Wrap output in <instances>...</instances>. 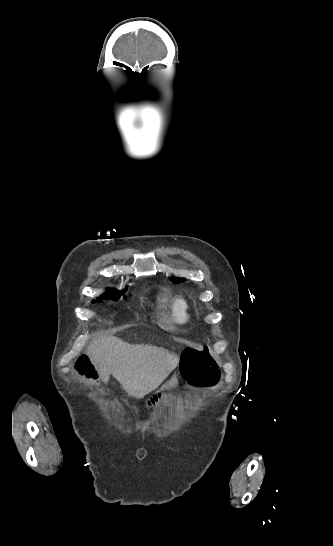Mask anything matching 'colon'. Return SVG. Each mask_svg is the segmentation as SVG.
<instances>
[{
	"mask_svg": "<svg viewBox=\"0 0 333 546\" xmlns=\"http://www.w3.org/2000/svg\"><path fill=\"white\" fill-rule=\"evenodd\" d=\"M75 369L89 379H96L98 374L93 363H88L86 356L81 355L75 362ZM181 370L184 378L200 387H211L218 383L220 373L217 364L206 346L190 347L183 351ZM94 383L92 380L89 382ZM155 400L157 397H154ZM153 401V400H152ZM146 407V404H143Z\"/></svg>",
	"mask_w": 333,
	"mask_h": 546,
	"instance_id": "1",
	"label": "colon"
}]
</instances>
